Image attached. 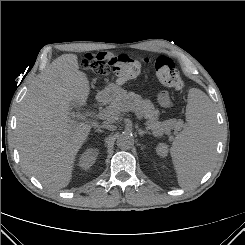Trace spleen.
<instances>
[{
    "label": "spleen",
    "instance_id": "1",
    "mask_svg": "<svg viewBox=\"0 0 245 245\" xmlns=\"http://www.w3.org/2000/svg\"><path fill=\"white\" fill-rule=\"evenodd\" d=\"M187 102V125L170 148L178 184L182 188L195 185L203 177L216 148L215 113L211 100L200 89L191 88ZM168 151L164 143L156 146L160 157H166Z\"/></svg>",
    "mask_w": 245,
    "mask_h": 245
}]
</instances>
